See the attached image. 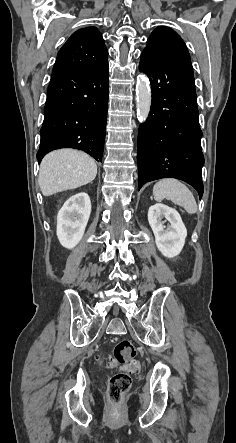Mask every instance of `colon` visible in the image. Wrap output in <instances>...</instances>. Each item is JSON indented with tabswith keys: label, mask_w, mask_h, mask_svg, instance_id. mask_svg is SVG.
Returning <instances> with one entry per match:
<instances>
[{
	"label": "colon",
	"mask_w": 236,
	"mask_h": 443,
	"mask_svg": "<svg viewBox=\"0 0 236 443\" xmlns=\"http://www.w3.org/2000/svg\"><path fill=\"white\" fill-rule=\"evenodd\" d=\"M136 349L130 340H120L115 344L113 359L108 363L110 367L120 366L129 371H139L141 366L135 361ZM131 377L128 373L118 372L109 377L108 397L112 403H119L131 387Z\"/></svg>",
	"instance_id": "5ec220e1"
}]
</instances>
